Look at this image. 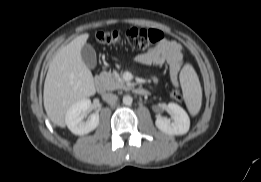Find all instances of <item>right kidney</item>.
<instances>
[{
  "label": "right kidney",
  "mask_w": 261,
  "mask_h": 182,
  "mask_svg": "<svg viewBox=\"0 0 261 182\" xmlns=\"http://www.w3.org/2000/svg\"><path fill=\"white\" fill-rule=\"evenodd\" d=\"M91 106V100L81 99L72 104L66 112L65 123L75 135H85L99 125V113H93L87 121H83L86 111Z\"/></svg>",
  "instance_id": "1"
}]
</instances>
